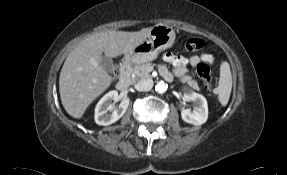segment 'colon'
<instances>
[{
	"label": "colon",
	"instance_id": "obj_1",
	"mask_svg": "<svg viewBox=\"0 0 287 175\" xmlns=\"http://www.w3.org/2000/svg\"><path fill=\"white\" fill-rule=\"evenodd\" d=\"M204 43L199 38H189L185 42V49L189 52H196L203 48ZM198 76L202 79L206 89L211 90L213 86V79L211 76V69L207 62H200L196 66Z\"/></svg>",
	"mask_w": 287,
	"mask_h": 175
}]
</instances>
